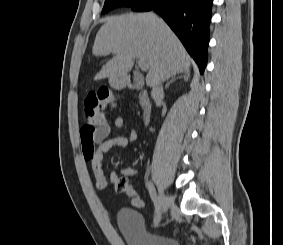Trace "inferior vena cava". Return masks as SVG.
Segmentation results:
<instances>
[{"mask_svg": "<svg viewBox=\"0 0 283 245\" xmlns=\"http://www.w3.org/2000/svg\"><path fill=\"white\" fill-rule=\"evenodd\" d=\"M162 94H163V87H162V85H161V82H158V83L156 84V86L153 87L152 92H151V95H152L153 97H155V96L162 95Z\"/></svg>", "mask_w": 283, "mask_h": 245, "instance_id": "inferior-vena-cava-1", "label": "inferior vena cava"}]
</instances>
